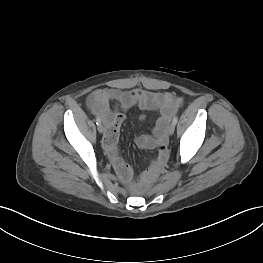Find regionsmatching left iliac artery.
I'll use <instances>...</instances> for the list:
<instances>
[{
	"label": "left iliac artery",
	"mask_w": 263,
	"mask_h": 263,
	"mask_svg": "<svg viewBox=\"0 0 263 263\" xmlns=\"http://www.w3.org/2000/svg\"><path fill=\"white\" fill-rule=\"evenodd\" d=\"M177 122H178V117L176 116V117H174V118H173V121H172V123L176 125V124H177Z\"/></svg>",
	"instance_id": "left-iliac-artery-1"
}]
</instances>
